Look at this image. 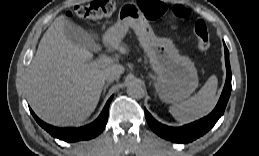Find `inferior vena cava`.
<instances>
[{"mask_svg": "<svg viewBox=\"0 0 259 156\" xmlns=\"http://www.w3.org/2000/svg\"><path fill=\"white\" fill-rule=\"evenodd\" d=\"M120 78V72L118 71H109L105 75V80L108 82H113L114 80H118Z\"/></svg>", "mask_w": 259, "mask_h": 156, "instance_id": "1", "label": "inferior vena cava"}]
</instances>
